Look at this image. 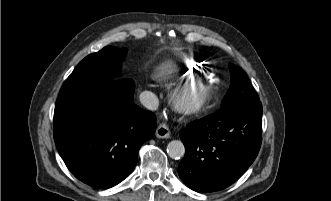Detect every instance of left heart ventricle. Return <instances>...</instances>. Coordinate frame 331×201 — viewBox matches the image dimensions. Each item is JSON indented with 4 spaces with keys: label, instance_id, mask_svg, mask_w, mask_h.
I'll list each match as a JSON object with an SVG mask.
<instances>
[{
    "label": "left heart ventricle",
    "instance_id": "left-heart-ventricle-1",
    "mask_svg": "<svg viewBox=\"0 0 331 201\" xmlns=\"http://www.w3.org/2000/svg\"><path fill=\"white\" fill-rule=\"evenodd\" d=\"M201 94V89L198 87H192L189 89H185L183 90L180 95H179V99L184 102H191L192 100L198 98Z\"/></svg>",
    "mask_w": 331,
    "mask_h": 201
}]
</instances>
